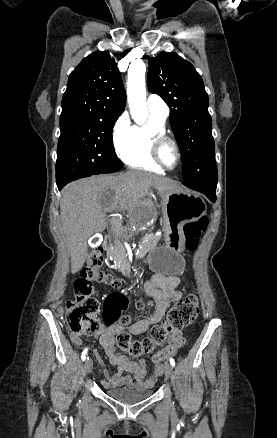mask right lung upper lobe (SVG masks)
Segmentation results:
<instances>
[{"instance_id": "obj_1", "label": "right lung upper lobe", "mask_w": 277, "mask_h": 438, "mask_svg": "<svg viewBox=\"0 0 277 438\" xmlns=\"http://www.w3.org/2000/svg\"><path fill=\"white\" fill-rule=\"evenodd\" d=\"M125 105L126 92L114 59L105 51H97L70 74L60 118L117 120Z\"/></svg>"}]
</instances>
